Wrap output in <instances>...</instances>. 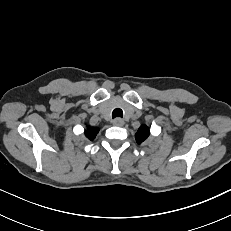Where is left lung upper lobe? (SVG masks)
Segmentation results:
<instances>
[{
  "instance_id": "left-lung-upper-lobe-1",
  "label": "left lung upper lobe",
  "mask_w": 231,
  "mask_h": 231,
  "mask_svg": "<svg viewBox=\"0 0 231 231\" xmlns=\"http://www.w3.org/2000/svg\"><path fill=\"white\" fill-rule=\"evenodd\" d=\"M150 135L149 129L146 125H142L138 132L135 135L136 141L138 144H141L143 141H145Z\"/></svg>"
}]
</instances>
